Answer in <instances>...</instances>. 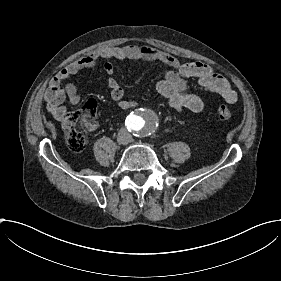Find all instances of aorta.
<instances>
[{
	"label": "aorta",
	"mask_w": 281,
	"mask_h": 281,
	"mask_svg": "<svg viewBox=\"0 0 281 281\" xmlns=\"http://www.w3.org/2000/svg\"><path fill=\"white\" fill-rule=\"evenodd\" d=\"M128 125L141 135H149L158 127L159 116L152 109L141 107L134 113H131Z\"/></svg>",
	"instance_id": "762f6f07"
}]
</instances>
